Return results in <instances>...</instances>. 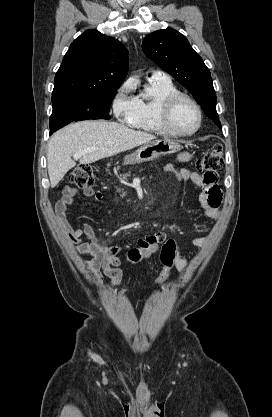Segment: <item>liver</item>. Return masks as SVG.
I'll use <instances>...</instances> for the list:
<instances>
[{"label":"liver","instance_id":"6515ba94","mask_svg":"<svg viewBox=\"0 0 272 417\" xmlns=\"http://www.w3.org/2000/svg\"><path fill=\"white\" fill-rule=\"evenodd\" d=\"M154 139L156 136L152 134L116 122L82 121L69 124L54 133L48 143L47 167L51 187H55L76 166L71 159L76 152L92 148L91 152L79 158L80 164H90Z\"/></svg>","mask_w":272,"mask_h":417}]
</instances>
